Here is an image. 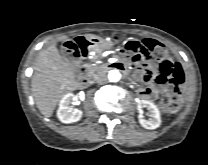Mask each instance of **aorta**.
<instances>
[{
  "mask_svg": "<svg viewBox=\"0 0 208 165\" xmlns=\"http://www.w3.org/2000/svg\"><path fill=\"white\" fill-rule=\"evenodd\" d=\"M121 78V74L118 70H110L108 73V79L110 82H118Z\"/></svg>",
  "mask_w": 208,
  "mask_h": 165,
  "instance_id": "obj_1",
  "label": "aorta"
}]
</instances>
